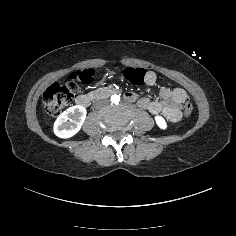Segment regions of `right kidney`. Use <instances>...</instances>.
Segmentation results:
<instances>
[{
    "label": "right kidney",
    "instance_id": "obj_1",
    "mask_svg": "<svg viewBox=\"0 0 236 236\" xmlns=\"http://www.w3.org/2000/svg\"><path fill=\"white\" fill-rule=\"evenodd\" d=\"M86 115L87 111L82 106H73L66 109L54 123V134L61 139L75 136L84 124Z\"/></svg>",
    "mask_w": 236,
    "mask_h": 236
}]
</instances>
